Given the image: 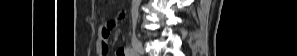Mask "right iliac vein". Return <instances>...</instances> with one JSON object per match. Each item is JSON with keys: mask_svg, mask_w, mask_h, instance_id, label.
I'll list each match as a JSON object with an SVG mask.
<instances>
[{"mask_svg": "<svg viewBox=\"0 0 297 56\" xmlns=\"http://www.w3.org/2000/svg\"><path fill=\"white\" fill-rule=\"evenodd\" d=\"M131 43H132L133 49L135 50L136 53H138L140 55L144 54V49H143L142 43L136 37L132 38Z\"/></svg>", "mask_w": 297, "mask_h": 56, "instance_id": "63e3f726", "label": "right iliac vein"}]
</instances>
